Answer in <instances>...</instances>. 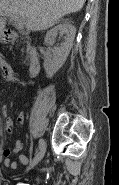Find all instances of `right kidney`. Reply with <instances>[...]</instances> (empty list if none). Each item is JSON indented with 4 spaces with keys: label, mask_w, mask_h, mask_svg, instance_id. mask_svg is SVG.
Returning a JSON list of instances; mask_svg holds the SVG:
<instances>
[{
    "label": "right kidney",
    "mask_w": 119,
    "mask_h": 185,
    "mask_svg": "<svg viewBox=\"0 0 119 185\" xmlns=\"http://www.w3.org/2000/svg\"><path fill=\"white\" fill-rule=\"evenodd\" d=\"M58 33L61 35H65L64 41L59 47L55 48L52 58L46 60L43 64L48 78H52V76L65 63L73 45V41L76 34V28L67 22L55 26L51 30L47 31L44 40L45 44L52 45Z\"/></svg>",
    "instance_id": "ca27d5eb"
}]
</instances>
